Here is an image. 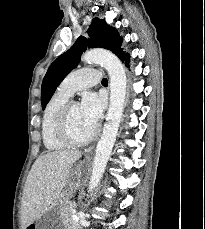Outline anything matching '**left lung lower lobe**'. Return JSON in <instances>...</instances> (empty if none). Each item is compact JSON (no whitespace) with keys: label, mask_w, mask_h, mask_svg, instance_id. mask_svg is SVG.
I'll return each instance as SVG.
<instances>
[{"label":"left lung lower lobe","mask_w":205,"mask_h":229,"mask_svg":"<svg viewBox=\"0 0 205 229\" xmlns=\"http://www.w3.org/2000/svg\"><path fill=\"white\" fill-rule=\"evenodd\" d=\"M118 57L120 58V60L122 62L125 61V65L127 67H129V55L127 53H124L123 51H121L119 54H118Z\"/></svg>","instance_id":"left-lung-lower-lobe-1"}]
</instances>
